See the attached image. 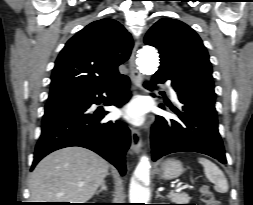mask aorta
Masks as SVG:
<instances>
[{
	"label": "aorta",
	"instance_id": "762f6f07",
	"mask_svg": "<svg viewBox=\"0 0 253 205\" xmlns=\"http://www.w3.org/2000/svg\"><path fill=\"white\" fill-rule=\"evenodd\" d=\"M159 66V55L152 46H144L139 51L138 69L144 75L154 74ZM129 199L131 204H147L149 190L134 178L130 184Z\"/></svg>",
	"mask_w": 253,
	"mask_h": 205
}]
</instances>
